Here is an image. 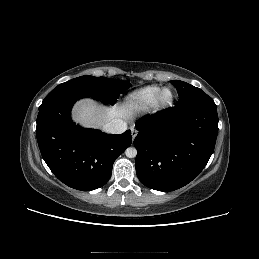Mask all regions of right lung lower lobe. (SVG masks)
I'll return each mask as SVG.
<instances>
[{
    "label": "right lung lower lobe",
    "instance_id": "right-lung-lower-lobe-1",
    "mask_svg": "<svg viewBox=\"0 0 259 259\" xmlns=\"http://www.w3.org/2000/svg\"><path fill=\"white\" fill-rule=\"evenodd\" d=\"M63 94L41 104L36 135L46 164L67 186L91 191L105 185L112 166L131 143V131L120 135L76 126L70 116L73 104L81 98Z\"/></svg>",
    "mask_w": 259,
    "mask_h": 259
}]
</instances>
